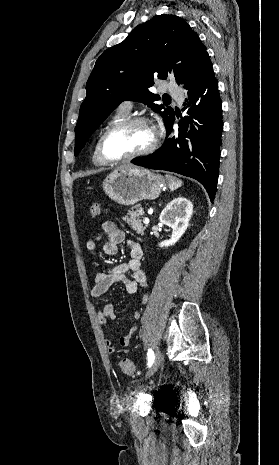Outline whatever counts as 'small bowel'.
<instances>
[{
    "mask_svg": "<svg viewBox=\"0 0 279 465\" xmlns=\"http://www.w3.org/2000/svg\"><path fill=\"white\" fill-rule=\"evenodd\" d=\"M102 231L107 240L103 244V252L106 255H115L118 252V245L125 240V234L113 222L106 221L102 224ZM100 235H93L87 242L86 248L92 254L97 252V242L100 240ZM130 251V259L127 262L120 263L112 268L104 270L96 274L94 284L91 290L93 297H100L115 283L122 282L125 289L130 294H135L140 288H147V277L141 266V258L143 251L141 245L133 240L127 242ZM129 274V276H128ZM147 298H143V303H146ZM140 314L135 313V318L138 319ZM115 318L114 308L108 304L103 309L98 311L97 320L99 324L105 327L109 320ZM137 326H132L126 335L120 338V345L128 347L131 343L132 335L136 332ZM105 345L108 353L116 352V347L110 339H105Z\"/></svg>",
    "mask_w": 279,
    "mask_h": 465,
    "instance_id": "c3829d8e",
    "label": "small bowel"
}]
</instances>
